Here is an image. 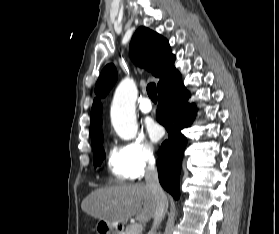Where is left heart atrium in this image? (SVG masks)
<instances>
[{
	"label": "left heart atrium",
	"mask_w": 279,
	"mask_h": 234,
	"mask_svg": "<svg viewBox=\"0 0 279 234\" xmlns=\"http://www.w3.org/2000/svg\"><path fill=\"white\" fill-rule=\"evenodd\" d=\"M146 130L153 141H158L162 135H163V130L160 125H158L156 122L153 120H148L146 122Z\"/></svg>",
	"instance_id": "39dd6f15"
}]
</instances>
